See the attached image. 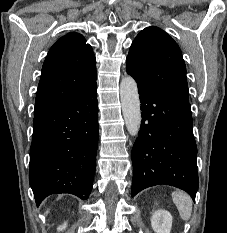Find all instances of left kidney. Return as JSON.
<instances>
[{"label":"left kidney","instance_id":"left-kidney-1","mask_svg":"<svg viewBox=\"0 0 227 233\" xmlns=\"http://www.w3.org/2000/svg\"><path fill=\"white\" fill-rule=\"evenodd\" d=\"M172 215L166 210H157L151 218V226L155 233H170L172 228Z\"/></svg>","mask_w":227,"mask_h":233}]
</instances>
